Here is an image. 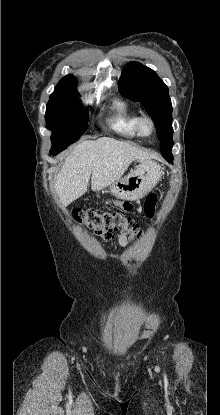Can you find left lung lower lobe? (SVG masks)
I'll return each mask as SVG.
<instances>
[{
  "label": "left lung lower lobe",
  "instance_id": "obj_1",
  "mask_svg": "<svg viewBox=\"0 0 220 415\" xmlns=\"http://www.w3.org/2000/svg\"><path fill=\"white\" fill-rule=\"evenodd\" d=\"M163 157L170 163L173 162V155H163Z\"/></svg>",
  "mask_w": 220,
  "mask_h": 415
}]
</instances>
